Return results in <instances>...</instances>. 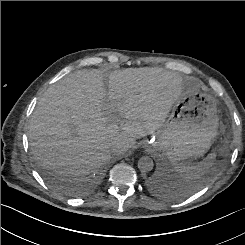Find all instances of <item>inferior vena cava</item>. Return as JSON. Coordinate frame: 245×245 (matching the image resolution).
I'll list each match as a JSON object with an SVG mask.
<instances>
[{
  "label": "inferior vena cava",
  "mask_w": 245,
  "mask_h": 245,
  "mask_svg": "<svg viewBox=\"0 0 245 245\" xmlns=\"http://www.w3.org/2000/svg\"><path fill=\"white\" fill-rule=\"evenodd\" d=\"M113 151H119L120 153L124 152V148H115L113 149Z\"/></svg>",
  "instance_id": "obj_1"
}]
</instances>
